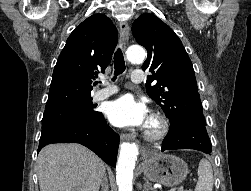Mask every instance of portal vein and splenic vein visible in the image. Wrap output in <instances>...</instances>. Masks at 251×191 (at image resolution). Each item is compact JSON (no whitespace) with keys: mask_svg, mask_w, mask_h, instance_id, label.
Wrapping results in <instances>:
<instances>
[{"mask_svg":"<svg viewBox=\"0 0 251 191\" xmlns=\"http://www.w3.org/2000/svg\"><path fill=\"white\" fill-rule=\"evenodd\" d=\"M178 188L177 184H174L171 188L168 189V191H175Z\"/></svg>","mask_w":251,"mask_h":191,"instance_id":"18ae733b","label":"portal vein and splenic vein"}]
</instances>
